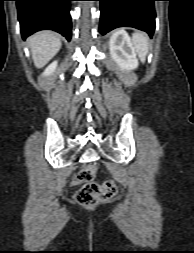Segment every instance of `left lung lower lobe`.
Returning <instances> with one entry per match:
<instances>
[{"label":"left lung lower lobe","instance_id":"1","mask_svg":"<svg viewBox=\"0 0 194 253\" xmlns=\"http://www.w3.org/2000/svg\"><path fill=\"white\" fill-rule=\"evenodd\" d=\"M101 3L99 32L105 35L117 27H134L147 32L155 29L154 2L159 0H98Z\"/></svg>","mask_w":194,"mask_h":253}]
</instances>
